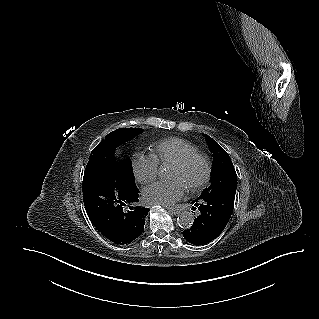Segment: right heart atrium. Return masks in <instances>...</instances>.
I'll return each instance as SVG.
<instances>
[{
    "label": "right heart atrium",
    "mask_w": 319,
    "mask_h": 319,
    "mask_svg": "<svg viewBox=\"0 0 319 319\" xmlns=\"http://www.w3.org/2000/svg\"><path fill=\"white\" fill-rule=\"evenodd\" d=\"M131 167L136 181L141 184L153 181L159 171V164L151 154L133 155Z\"/></svg>",
    "instance_id": "obj_1"
}]
</instances>
